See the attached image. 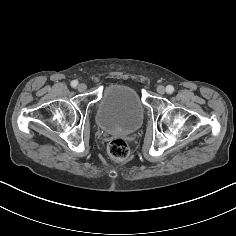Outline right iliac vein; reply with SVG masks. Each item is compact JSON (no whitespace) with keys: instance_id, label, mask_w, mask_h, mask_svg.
<instances>
[{"instance_id":"1","label":"right iliac vein","mask_w":236,"mask_h":236,"mask_svg":"<svg viewBox=\"0 0 236 236\" xmlns=\"http://www.w3.org/2000/svg\"><path fill=\"white\" fill-rule=\"evenodd\" d=\"M86 89H87L86 84L81 83V84L78 85V91L84 92Z\"/></svg>"}]
</instances>
